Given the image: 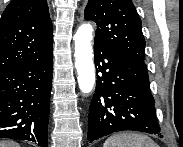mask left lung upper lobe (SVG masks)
<instances>
[{
    "label": "left lung upper lobe",
    "mask_w": 183,
    "mask_h": 147,
    "mask_svg": "<svg viewBox=\"0 0 183 147\" xmlns=\"http://www.w3.org/2000/svg\"><path fill=\"white\" fill-rule=\"evenodd\" d=\"M84 17L97 24L95 42L145 63V39L131 0H89Z\"/></svg>",
    "instance_id": "1"
}]
</instances>
